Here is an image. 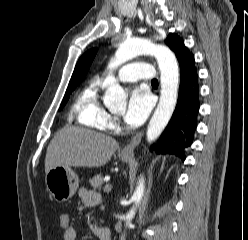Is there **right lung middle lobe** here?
Segmentation results:
<instances>
[{"label": "right lung middle lobe", "mask_w": 248, "mask_h": 240, "mask_svg": "<svg viewBox=\"0 0 248 240\" xmlns=\"http://www.w3.org/2000/svg\"><path fill=\"white\" fill-rule=\"evenodd\" d=\"M79 81H70L68 88L66 90L65 96L63 98V101L61 103V108L66 104L67 100L69 99V96L71 92L76 88V86L79 84Z\"/></svg>", "instance_id": "1"}]
</instances>
